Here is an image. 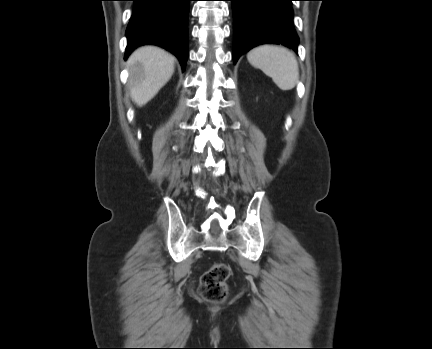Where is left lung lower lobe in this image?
Masks as SVG:
<instances>
[{"mask_svg": "<svg viewBox=\"0 0 432 349\" xmlns=\"http://www.w3.org/2000/svg\"><path fill=\"white\" fill-rule=\"evenodd\" d=\"M234 18V63L250 49L265 43L283 44L297 52L293 0H230Z\"/></svg>", "mask_w": 432, "mask_h": 349, "instance_id": "1", "label": "left lung lower lobe"}]
</instances>
